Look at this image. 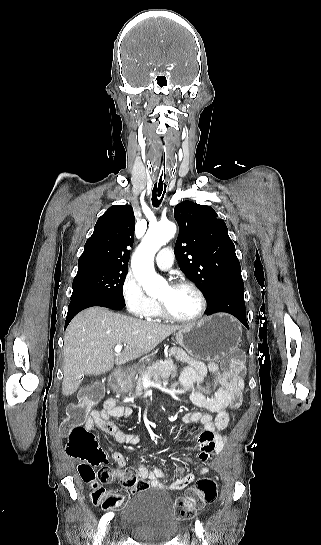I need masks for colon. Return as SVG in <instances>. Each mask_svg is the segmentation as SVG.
I'll return each instance as SVG.
<instances>
[{
  "mask_svg": "<svg viewBox=\"0 0 321 545\" xmlns=\"http://www.w3.org/2000/svg\"><path fill=\"white\" fill-rule=\"evenodd\" d=\"M224 373L240 378L244 374L243 356L236 351L230 352L222 361ZM102 387L91 385L83 389L76 403L68 407L60 431L66 438V452L68 455L82 460H98L104 455L99 447L96 436L85 427V421L91 410L99 403L102 397ZM90 485V498L94 504L104 510H120L128 500L129 492H138L149 487V483L138 476L134 470H128L121 483L125 490L108 491L97 481V477L86 478ZM218 494V480L216 477L200 478L194 486L186 490L183 496L175 503L176 515L179 519L190 518L197 509L213 503Z\"/></svg>",
  "mask_w": 321,
  "mask_h": 545,
  "instance_id": "colon-1",
  "label": "colon"
}]
</instances>
